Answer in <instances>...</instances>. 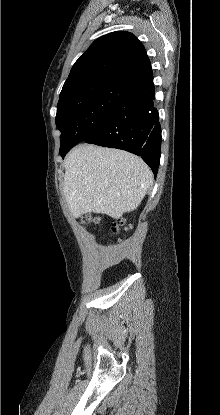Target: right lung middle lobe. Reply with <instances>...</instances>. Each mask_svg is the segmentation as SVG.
Here are the masks:
<instances>
[{
	"mask_svg": "<svg viewBox=\"0 0 220 415\" xmlns=\"http://www.w3.org/2000/svg\"><path fill=\"white\" fill-rule=\"evenodd\" d=\"M137 89L118 78H98L62 90L56 115L60 150L72 148L95 133L107 115Z\"/></svg>",
	"mask_w": 220,
	"mask_h": 415,
	"instance_id": "1",
	"label": "right lung middle lobe"
}]
</instances>
